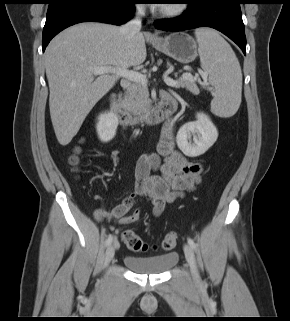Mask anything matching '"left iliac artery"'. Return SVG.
<instances>
[{
  "label": "left iliac artery",
  "instance_id": "44dca946",
  "mask_svg": "<svg viewBox=\"0 0 290 321\" xmlns=\"http://www.w3.org/2000/svg\"><path fill=\"white\" fill-rule=\"evenodd\" d=\"M188 243L194 250L196 249V244L191 238H188Z\"/></svg>",
  "mask_w": 290,
  "mask_h": 321
}]
</instances>
